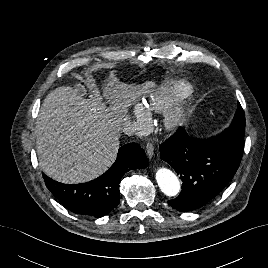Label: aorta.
<instances>
[{
  "label": "aorta",
  "mask_w": 268,
  "mask_h": 268,
  "mask_svg": "<svg viewBox=\"0 0 268 268\" xmlns=\"http://www.w3.org/2000/svg\"><path fill=\"white\" fill-rule=\"evenodd\" d=\"M156 180L161 191L170 197L176 196L180 191V182L177 176L167 168H159Z\"/></svg>",
  "instance_id": "1"
}]
</instances>
